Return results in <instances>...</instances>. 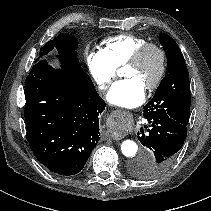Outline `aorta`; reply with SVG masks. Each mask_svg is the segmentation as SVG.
I'll list each match as a JSON object with an SVG mask.
<instances>
[{
  "label": "aorta",
  "instance_id": "aorta-1",
  "mask_svg": "<svg viewBox=\"0 0 211 211\" xmlns=\"http://www.w3.org/2000/svg\"><path fill=\"white\" fill-rule=\"evenodd\" d=\"M121 151L124 156L133 158L137 154L138 146L132 140H125L121 145Z\"/></svg>",
  "mask_w": 211,
  "mask_h": 211
}]
</instances>
